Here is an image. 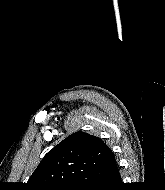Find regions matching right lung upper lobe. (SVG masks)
Returning a JSON list of instances; mask_svg holds the SVG:
<instances>
[{"label": "right lung upper lobe", "instance_id": "cb5924a9", "mask_svg": "<svg viewBox=\"0 0 165 190\" xmlns=\"http://www.w3.org/2000/svg\"><path fill=\"white\" fill-rule=\"evenodd\" d=\"M113 158V152L101 139L83 132L73 133L45 155L25 188L49 190L79 182L85 174Z\"/></svg>", "mask_w": 165, "mask_h": 190}]
</instances>
